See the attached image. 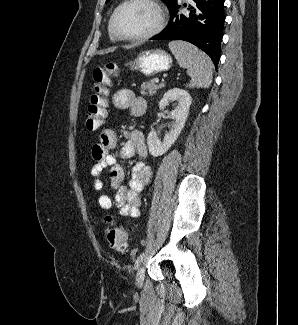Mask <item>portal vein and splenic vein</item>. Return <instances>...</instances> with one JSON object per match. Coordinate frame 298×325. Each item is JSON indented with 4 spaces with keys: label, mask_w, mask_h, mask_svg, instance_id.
Segmentation results:
<instances>
[{
    "label": "portal vein and splenic vein",
    "mask_w": 298,
    "mask_h": 325,
    "mask_svg": "<svg viewBox=\"0 0 298 325\" xmlns=\"http://www.w3.org/2000/svg\"><path fill=\"white\" fill-rule=\"evenodd\" d=\"M154 82H159V78H154Z\"/></svg>",
    "instance_id": "obj_1"
}]
</instances>
